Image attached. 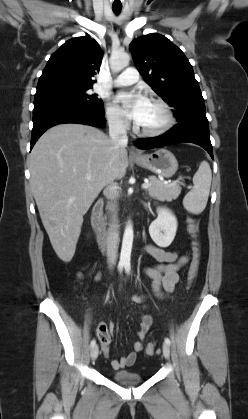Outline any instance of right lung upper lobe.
<instances>
[{"label":"right lung upper lobe","instance_id":"obj_1","mask_svg":"<svg viewBox=\"0 0 248 419\" xmlns=\"http://www.w3.org/2000/svg\"><path fill=\"white\" fill-rule=\"evenodd\" d=\"M103 52L89 36L65 42L53 53L43 70L37 92L58 88H92Z\"/></svg>","mask_w":248,"mask_h":419}]
</instances>
